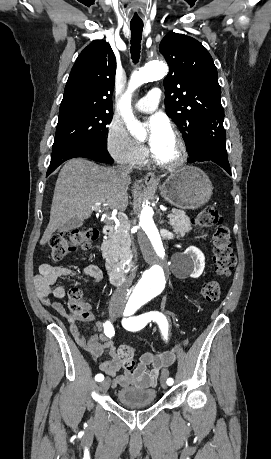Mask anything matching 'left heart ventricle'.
Returning a JSON list of instances; mask_svg holds the SVG:
<instances>
[{"label": "left heart ventricle", "mask_w": 271, "mask_h": 459, "mask_svg": "<svg viewBox=\"0 0 271 459\" xmlns=\"http://www.w3.org/2000/svg\"><path fill=\"white\" fill-rule=\"evenodd\" d=\"M151 150L159 157L169 158L175 153V143L171 133L163 136Z\"/></svg>", "instance_id": "b2bd125f"}]
</instances>
